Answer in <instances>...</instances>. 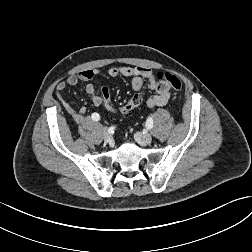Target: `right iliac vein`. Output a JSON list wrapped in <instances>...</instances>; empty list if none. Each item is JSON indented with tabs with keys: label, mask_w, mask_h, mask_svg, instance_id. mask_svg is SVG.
I'll use <instances>...</instances> for the list:
<instances>
[{
	"label": "right iliac vein",
	"mask_w": 252,
	"mask_h": 252,
	"mask_svg": "<svg viewBox=\"0 0 252 252\" xmlns=\"http://www.w3.org/2000/svg\"><path fill=\"white\" fill-rule=\"evenodd\" d=\"M103 138L109 144H111L113 142L112 135L107 130H104V132H103Z\"/></svg>",
	"instance_id": "obj_1"
}]
</instances>
